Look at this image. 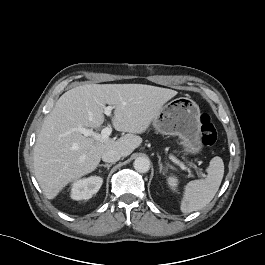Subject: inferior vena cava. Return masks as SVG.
I'll return each instance as SVG.
<instances>
[{
    "label": "inferior vena cava",
    "mask_w": 265,
    "mask_h": 265,
    "mask_svg": "<svg viewBox=\"0 0 265 265\" xmlns=\"http://www.w3.org/2000/svg\"><path fill=\"white\" fill-rule=\"evenodd\" d=\"M121 154L116 150H108L102 154V160L108 163H115L119 161Z\"/></svg>",
    "instance_id": "inferior-vena-cava-1"
}]
</instances>
